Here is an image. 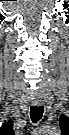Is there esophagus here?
Masks as SVG:
<instances>
[{"label":"esophagus","instance_id":"1","mask_svg":"<svg viewBox=\"0 0 69 135\" xmlns=\"http://www.w3.org/2000/svg\"><path fill=\"white\" fill-rule=\"evenodd\" d=\"M34 104H35L36 106H40V105H41V102H40V101H35Z\"/></svg>","mask_w":69,"mask_h":135}]
</instances>
